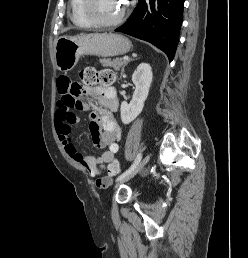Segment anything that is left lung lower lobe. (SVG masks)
<instances>
[{
  "instance_id": "1",
  "label": "left lung lower lobe",
  "mask_w": 248,
  "mask_h": 258,
  "mask_svg": "<svg viewBox=\"0 0 248 258\" xmlns=\"http://www.w3.org/2000/svg\"><path fill=\"white\" fill-rule=\"evenodd\" d=\"M184 0H139L129 20L115 31L152 43L175 55L183 18Z\"/></svg>"
}]
</instances>
